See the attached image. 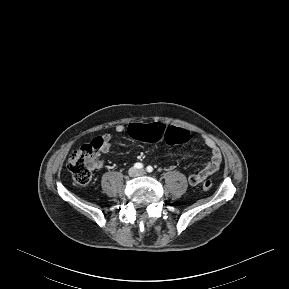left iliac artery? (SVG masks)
Returning <instances> with one entry per match:
<instances>
[{"instance_id":"left-iliac-artery-1","label":"left iliac artery","mask_w":289,"mask_h":289,"mask_svg":"<svg viewBox=\"0 0 289 289\" xmlns=\"http://www.w3.org/2000/svg\"><path fill=\"white\" fill-rule=\"evenodd\" d=\"M146 170H147V172L151 173V172L153 171V167H152V166H148V167L146 168Z\"/></svg>"}]
</instances>
